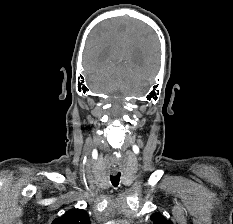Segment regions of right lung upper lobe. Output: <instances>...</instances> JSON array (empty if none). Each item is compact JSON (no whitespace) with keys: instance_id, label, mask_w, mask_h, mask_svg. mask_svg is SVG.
I'll use <instances>...</instances> for the list:
<instances>
[{"instance_id":"right-lung-upper-lobe-1","label":"right lung upper lobe","mask_w":233,"mask_h":224,"mask_svg":"<svg viewBox=\"0 0 233 224\" xmlns=\"http://www.w3.org/2000/svg\"><path fill=\"white\" fill-rule=\"evenodd\" d=\"M52 224H90V219L85 210L71 209L63 216L56 218Z\"/></svg>"}]
</instances>
